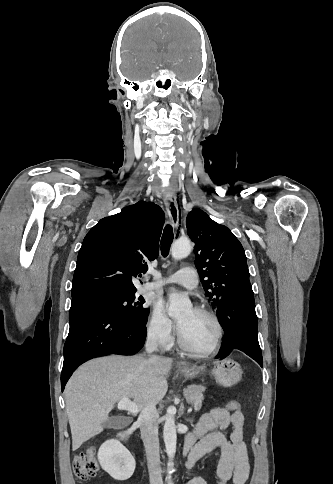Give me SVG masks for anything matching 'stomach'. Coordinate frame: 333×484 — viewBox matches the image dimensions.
<instances>
[{"label":"stomach","mask_w":333,"mask_h":484,"mask_svg":"<svg viewBox=\"0 0 333 484\" xmlns=\"http://www.w3.org/2000/svg\"><path fill=\"white\" fill-rule=\"evenodd\" d=\"M205 370V366L189 364H181L178 367L179 373L186 379H192L198 375H204ZM211 374L219 385L223 387H231L241 379L242 369L236 361L231 358H225L214 362Z\"/></svg>","instance_id":"stomach-1"}]
</instances>
